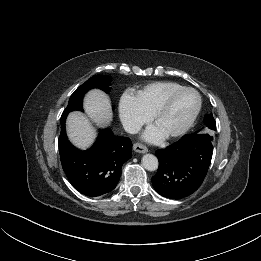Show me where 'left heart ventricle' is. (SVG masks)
<instances>
[{"label":"left heart ventricle","mask_w":261,"mask_h":261,"mask_svg":"<svg viewBox=\"0 0 261 261\" xmlns=\"http://www.w3.org/2000/svg\"><path fill=\"white\" fill-rule=\"evenodd\" d=\"M197 96L187 91L176 96L167 110L155 123V127L163 134H168L180 129L191 117L196 106Z\"/></svg>","instance_id":"1"}]
</instances>
